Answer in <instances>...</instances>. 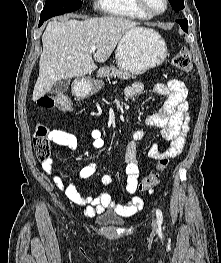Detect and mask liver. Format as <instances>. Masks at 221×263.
Segmentation results:
<instances>
[{"instance_id":"6515ba94","label":"liver","mask_w":221,"mask_h":263,"mask_svg":"<svg viewBox=\"0 0 221 263\" xmlns=\"http://www.w3.org/2000/svg\"><path fill=\"white\" fill-rule=\"evenodd\" d=\"M122 17L104 16L50 21L42 35L43 52L33 101L43 97L59 80L81 77L96 70L94 62L104 63L129 31L146 28ZM97 50L92 56L90 48Z\"/></svg>"}]
</instances>
